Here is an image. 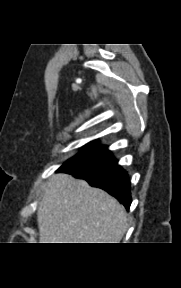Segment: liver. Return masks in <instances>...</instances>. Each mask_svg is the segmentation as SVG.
I'll return each mask as SVG.
<instances>
[{
    "instance_id": "liver-1",
    "label": "liver",
    "mask_w": 181,
    "mask_h": 288,
    "mask_svg": "<svg viewBox=\"0 0 181 288\" xmlns=\"http://www.w3.org/2000/svg\"><path fill=\"white\" fill-rule=\"evenodd\" d=\"M37 221L40 243H120L128 228L115 198L64 173L47 181Z\"/></svg>"
}]
</instances>
